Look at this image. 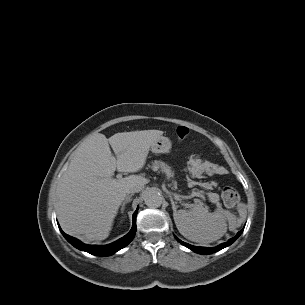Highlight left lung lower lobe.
<instances>
[{"mask_svg": "<svg viewBox=\"0 0 305 305\" xmlns=\"http://www.w3.org/2000/svg\"><path fill=\"white\" fill-rule=\"evenodd\" d=\"M243 230H241L240 232L237 233V235L233 238H231L229 241L220 244L217 247H197V246H192L190 244H187L181 240H179L177 237L176 239L184 246H186L187 248L191 249L192 251L199 253V254H212L215 253L229 245H231L242 233Z\"/></svg>", "mask_w": 305, "mask_h": 305, "instance_id": "left-lung-lower-lobe-1", "label": "left lung lower lobe"}]
</instances>
